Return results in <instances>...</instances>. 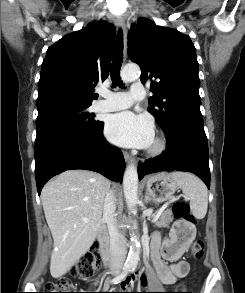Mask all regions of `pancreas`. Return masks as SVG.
Segmentation results:
<instances>
[{"mask_svg": "<svg viewBox=\"0 0 245 293\" xmlns=\"http://www.w3.org/2000/svg\"><path fill=\"white\" fill-rule=\"evenodd\" d=\"M173 221V217L170 211H165L161 214L160 218L156 222L158 227H168L169 223Z\"/></svg>", "mask_w": 245, "mask_h": 293, "instance_id": "obj_1", "label": "pancreas"}]
</instances>
